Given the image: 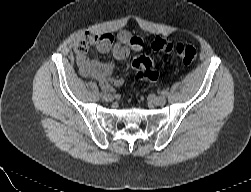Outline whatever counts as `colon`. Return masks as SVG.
I'll use <instances>...</instances> for the list:
<instances>
[{"mask_svg": "<svg viewBox=\"0 0 251 192\" xmlns=\"http://www.w3.org/2000/svg\"><path fill=\"white\" fill-rule=\"evenodd\" d=\"M151 47L158 52L175 53L185 65L192 64L198 57V52L192 45L185 43L173 44L163 37L155 38ZM132 67L136 71L137 77L144 81H155L158 78V72L152 59L146 55L135 57L132 61Z\"/></svg>", "mask_w": 251, "mask_h": 192, "instance_id": "obj_1", "label": "colon"}]
</instances>
